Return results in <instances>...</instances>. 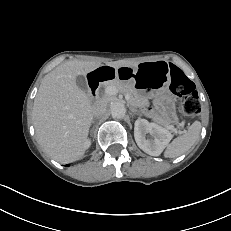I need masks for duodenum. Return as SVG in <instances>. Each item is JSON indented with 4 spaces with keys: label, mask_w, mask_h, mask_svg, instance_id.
<instances>
[{
    "label": "duodenum",
    "mask_w": 231,
    "mask_h": 231,
    "mask_svg": "<svg viewBox=\"0 0 231 231\" xmlns=\"http://www.w3.org/2000/svg\"><path fill=\"white\" fill-rule=\"evenodd\" d=\"M110 70L107 67H102L96 70L89 79V97L95 99L97 97V88L103 81L109 79Z\"/></svg>",
    "instance_id": "obj_1"
}]
</instances>
